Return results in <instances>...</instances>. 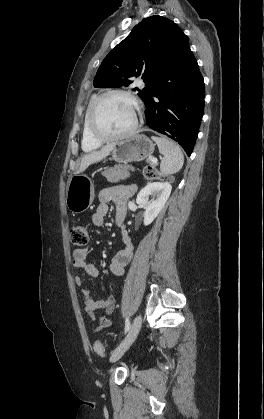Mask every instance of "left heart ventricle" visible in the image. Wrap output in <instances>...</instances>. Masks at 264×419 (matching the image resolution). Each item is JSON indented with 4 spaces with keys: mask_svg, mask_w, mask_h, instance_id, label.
Returning <instances> with one entry per match:
<instances>
[{
    "mask_svg": "<svg viewBox=\"0 0 264 419\" xmlns=\"http://www.w3.org/2000/svg\"><path fill=\"white\" fill-rule=\"evenodd\" d=\"M135 119V104L125 96L113 95L101 103L96 115V124L101 132L115 135L132 128Z\"/></svg>",
    "mask_w": 264,
    "mask_h": 419,
    "instance_id": "1",
    "label": "left heart ventricle"
}]
</instances>
